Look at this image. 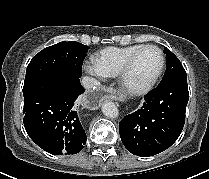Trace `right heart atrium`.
I'll return each instance as SVG.
<instances>
[{"instance_id": "1", "label": "right heart atrium", "mask_w": 209, "mask_h": 179, "mask_svg": "<svg viewBox=\"0 0 209 179\" xmlns=\"http://www.w3.org/2000/svg\"><path fill=\"white\" fill-rule=\"evenodd\" d=\"M85 69H86V71L88 73H90V74H92L94 76H97V77H101L102 76L94 65L87 64V65H85Z\"/></svg>"}]
</instances>
